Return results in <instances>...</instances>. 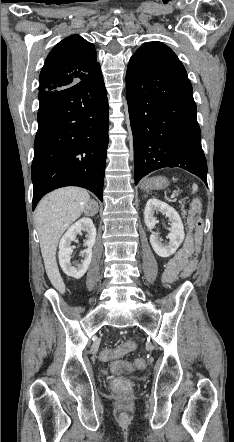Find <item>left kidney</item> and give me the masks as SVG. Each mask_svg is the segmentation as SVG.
Returning <instances> with one entry per match:
<instances>
[{
    "mask_svg": "<svg viewBox=\"0 0 234 442\" xmlns=\"http://www.w3.org/2000/svg\"><path fill=\"white\" fill-rule=\"evenodd\" d=\"M155 212L165 214L171 221V232L168 235V244H162L159 241L158 233H152L150 236V243L155 253L160 257L166 258L174 254L183 242L185 237L184 227L179 214L173 207L156 198H151L147 201L144 210V221L149 229H153L156 225L157 221L154 218Z\"/></svg>",
    "mask_w": 234,
    "mask_h": 442,
    "instance_id": "5707ae66",
    "label": "left kidney"
}]
</instances>
